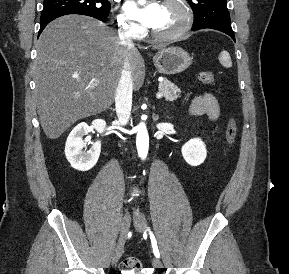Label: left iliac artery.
I'll use <instances>...</instances> for the list:
<instances>
[{
  "instance_id": "obj_1",
  "label": "left iliac artery",
  "mask_w": 289,
  "mask_h": 274,
  "mask_svg": "<svg viewBox=\"0 0 289 274\" xmlns=\"http://www.w3.org/2000/svg\"><path fill=\"white\" fill-rule=\"evenodd\" d=\"M149 231V235H150V239H151V244H152V248H153V253L154 255L159 258L160 257V253H159V250H158V246H157V241H156V238L153 234V232L148 229Z\"/></svg>"
}]
</instances>
